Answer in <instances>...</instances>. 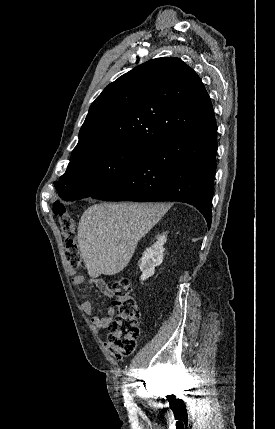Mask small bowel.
I'll use <instances>...</instances> for the list:
<instances>
[{"label": "small bowel", "instance_id": "1", "mask_svg": "<svg viewBox=\"0 0 275 429\" xmlns=\"http://www.w3.org/2000/svg\"><path fill=\"white\" fill-rule=\"evenodd\" d=\"M90 281L108 297L113 296L110 285L104 279L100 277H93ZM72 283L76 287L81 286L84 283V277L80 274H74L72 277ZM81 309L85 314L91 315V323L98 329L109 327L115 314V308L113 306L108 308L106 316L94 314L93 304L90 301L82 302Z\"/></svg>", "mask_w": 275, "mask_h": 429}]
</instances>
